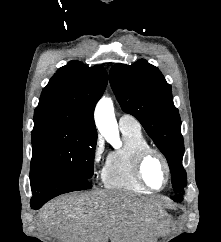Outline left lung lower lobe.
Segmentation results:
<instances>
[{
    "label": "left lung lower lobe",
    "mask_w": 221,
    "mask_h": 242,
    "mask_svg": "<svg viewBox=\"0 0 221 242\" xmlns=\"http://www.w3.org/2000/svg\"><path fill=\"white\" fill-rule=\"evenodd\" d=\"M172 199L176 202H180L182 200V196H175V197H172Z\"/></svg>",
    "instance_id": "1"
}]
</instances>
